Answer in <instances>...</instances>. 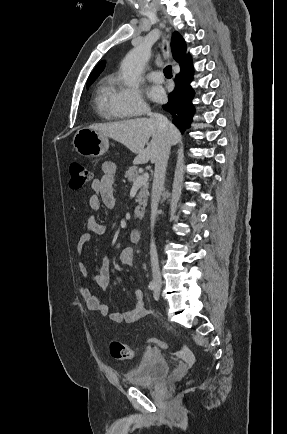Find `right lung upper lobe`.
Here are the masks:
<instances>
[{"instance_id":"right-lung-upper-lobe-1","label":"right lung upper lobe","mask_w":287,"mask_h":434,"mask_svg":"<svg viewBox=\"0 0 287 434\" xmlns=\"http://www.w3.org/2000/svg\"><path fill=\"white\" fill-rule=\"evenodd\" d=\"M171 48L173 57L180 64V66L184 65L191 58L189 54H186V43L183 37L178 32L173 33ZM103 69L104 62L102 61L93 70L87 82H94V80L99 76Z\"/></svg>"}]
</instances>
